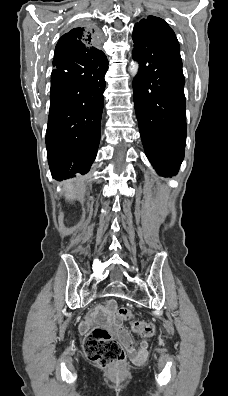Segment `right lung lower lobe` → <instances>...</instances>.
Segmentation results:
<instances>
[{"label":"right lung lower lobe","mask_w":228,"mask_h":396,"mask_svg":"<svg viewBox=\"0 0 228 396\" xmlns=\"http://www.w3.org/2000/svg\"><path fill=\"white\" fill-rule=\"evenodd\" d=\"M51 74L47 156L57 180L86 174L97 155L108 70L97 48L55 52Z\"/></svg>","instance_id":"obj_1"}]
</instances>
